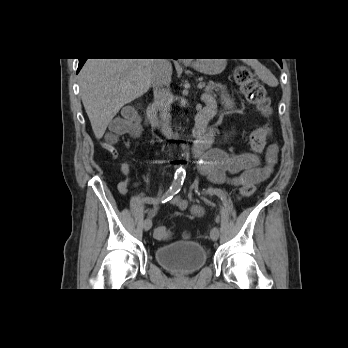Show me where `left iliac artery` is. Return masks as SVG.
Listing matches in <instances>:
<instances>
[{"instance_id": "44dca946", "label": "left iliac artery", "mask_w": 348, "mask_h": 348, "mask_svg": "<svg viewBox=\"0 0 348 348\" xmlns=\"http://www.w3.org/2000/svg\"><path fill=\"white\" fill-rule=\"evenodd\" d=\"M208 192L209 193H217L215 190H208ZM207 193V192H206ZM219 197L220 198H222V200L224 201V204H225V206H228V205H230V200H227V195H226V193H225V190L223 189V188H220L219 189Z\"/></svg>"}]
</instances>
